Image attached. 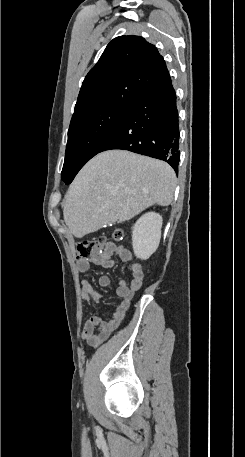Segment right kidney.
<instances>
[{
    "instance_id": "ca27d5eb",
    "label": "right kidney",
    "mask_w": 245,
    "mask_h": 457,
    "mask_svg": "<svg viewBox=\"0 0 245 457\" xmlns=\"http://www.w3.org/2000/svg\"><path fill=\"white\" fill-rule=\"evenodd\" d=\"M163 218L158 212H146L133 226V251H156L161 239Z\"/></svg>"
}]
</instances>
